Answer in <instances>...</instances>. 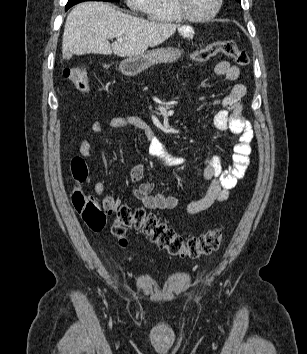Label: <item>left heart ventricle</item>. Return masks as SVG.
Here are the masks:
<instances>
[{
  "mask_svg": "<svg viewBox=\"0 0 307 354\" xmlns=\"http://www.w3.org/2000/svg\"><path fill=\"white\" fill-rule=\"evenodd\" d=\"M217 0H186V8L189 13L196 16H203L211 13Z\"/></svg>",
  "mask_w": 307,
  "mask_h": 354,
  "instance_id": "obj_1",
  "label": "left heart ventricle"
}]
</instances>
